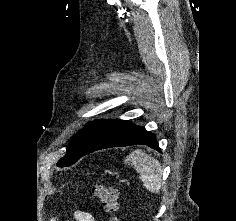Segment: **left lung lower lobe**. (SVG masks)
<instances>
[{
  "label": "left lung lower lobe",
  "mask_w": 236,
  "mask_h": 221,
  "mask_svg": "<svg viewBox=\"0 0 236 221\" xmlns=\"http://www.w3.org/2000/svg\"><path fill=\"white\" fill-rule=\"evenodd\" d=\"M134 144H144L160 151L155 135L143 127L124 120H104L77 160L96 150Z\"/></svg>",
  "instance_id": "1"
}]
</instances>
